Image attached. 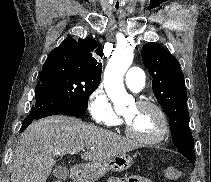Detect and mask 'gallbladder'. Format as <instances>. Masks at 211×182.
<instances>
[{"instance_id": "gallbladder-1", "label": "gallbladder", "mask_w": 211, "mask_h": 182, "mask_svg": "<svg viewBox=\"0 0 211 182\" xmlns=\"http://www.w3.org/2000/svg\"><path fill=\"white\" fill-rule=\"evenodd\" d=\"M68 172L66 168L64 167H57L53 170L54 176L58 178L64 177V173Z\"/></svg>"}]
</instances>
